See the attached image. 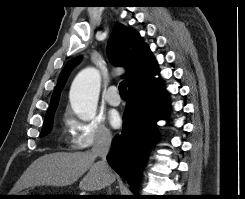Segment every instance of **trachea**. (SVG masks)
Here are the masks:
<instances>
[{
  "label": "trachea",
  "instance_id": "1",
  "mask_svg": "<svg viewBox=\"0 0 245 199\" xmlns=\"http://www.w3.org/2000/svg\"><path fill=\"white\" fill-rule=\"evenodd\" d=\"M119 93L121 96H126L127 94V88H126V82L125 81H122L120 84H119Z\"/></svg>",
  "mask_w": 245,
  "mask_h": 199
}]
</instances>
